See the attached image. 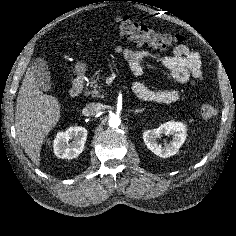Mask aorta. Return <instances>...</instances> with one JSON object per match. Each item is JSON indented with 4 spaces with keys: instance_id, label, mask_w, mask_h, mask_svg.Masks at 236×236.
Wrapping results in <instances>:
<instances>
[{
    "instance_id": "1",
    "label": "aorta",
    "mask_w": 236,
    "mask_h": 236,
    "mask_svg": "<svg viewBox=\"0 0 236 236\" xmlns=\"http://www.w3.org/2000/svg\"><path fill=\"white\" fill-rule=\"evenodd\" d=\"M121 120L118 116H111L108 120V124L110 127L112 128H117L118 126H120Z\"/></svg>"
}]
</instances>
